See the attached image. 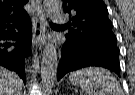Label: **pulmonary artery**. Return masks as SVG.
I'll return each instance as SVG.
<instances>
[{"label":"pulmonary artery","mask_w":135,"mask_h":95,"mask_svg":"<svg viewBox=\"0 0 135 95\" xmlns=\"http://www.w3.org/2000/svg\"><path fill=\"white\" fill-rule=\"evenodd\" d=\"M53 18L56 23H64L66 21V16L61 12H55Z\"/></svg>","instance_id":"pulmonary-artery-1"}]
</instances>
